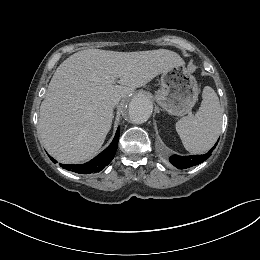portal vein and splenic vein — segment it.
I'll return each mask as SVG.
<instances>
[{
	"label": "portal vein and splenic vein",
	"instance_id": "portal-vein-and-splenic-vein-1",
	"mask_svg": "<svg viewBox=\"0 0 260 260\" xmlns=\"http://www.w3.org/2000/svg\"><path fill=\"white\" fill-rule=\"evenodd\" d=\"M111 83H116V81L113 80V81H111Z\"/></svg>",
	"mask_w": 260,
	"mask_h": 260
}]
</instances>
